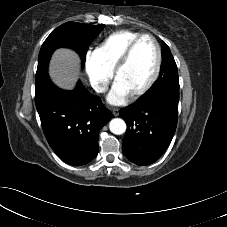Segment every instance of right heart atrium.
I'll list each match as a JSON object with an SVG mask.
<instances>
[{
	"mask_svg": "<svg viewBox=\"0 0 227 227\" xmlns=\"http://www.w3.org/2000/svg\"><path fill=\"white\" fill-rule=\"evenodd\" d=\"M84 68L92 89L97 93L104 92L110 82L111 72L101 64L94 52L86 53Z\"/></svg>",
	"mask_w": 227,
	"mask_h": 227,
	"instance_id": "obj_1",
	"label": "right heart atrium"
}]
</instances>
